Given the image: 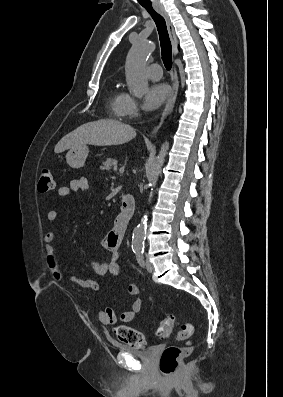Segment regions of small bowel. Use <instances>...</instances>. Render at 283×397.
Wrapping results in <instances>:
<instances>
[{
    "instance_id": "small-bowel-1",
    "label": "small bowel",
    "mask_w": 283,
    "mask_h": 397,
    "mask_svg": "<svg viewBox=\"0 0 283 397\" xmlns=\"http://www.w3.org/2000/svg\"><path fill=\"white\" fill-rule=\"evenodd\" d=\"M89 183L85 177H80L70 181L68 186L59 187L57 194L60 197H67L73 192H84L88 189ZM59 217L57 210H50L47 213V219L50 222H55ZM123 233L118 232L115 228L109 231V233L103 239V247L108 253V260L106 262L93 261L91 267L93 271L99 276H118L120 273L119 264V246L123 239ZM55 234L53 232H47L44 236V252H45V263L47 269L57 281L68 280L77 286L90 289L92 291H98L102 284L98 281L82 279L76 275H65L59 266L58 259L55 254ZM127 293L129 296L135 297L131 303L129 309L123 311L119 316L115 310L111 307H106L99 310L98 319L103 325H114L118 321L123 323H129L134 320L136 315L141 311L143 306V299L139 297L140 289L137 284H129L127 286Z\"/></svg>"
}]
</instances>
